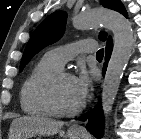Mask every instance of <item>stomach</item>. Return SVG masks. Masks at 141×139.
I'll return each mask as SVG.
<instances>
[{
    "mask_svg": "<svg viewBox=\"0 0 141 139\" xmlns=\"http://www.w3.org/2000/svg\"><path fill=\"white\" fill-rule=\"evenodd\" d=\"M67 139H81V134L80 133H74L72 131H68L66 134Z\"/></svg>",
    "mask_w": 141,
    "mask_h": 139,
    "instance_id": "0dacf381",
    "label": "stomach"
}]
</instances>
